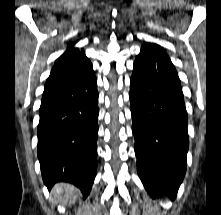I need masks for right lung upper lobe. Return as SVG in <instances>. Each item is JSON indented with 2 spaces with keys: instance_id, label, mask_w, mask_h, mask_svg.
I'll return each mask as SVG.
<instances>
[{
  "instance_id": "obj_1",
  "label": "right lung upper lobe",
  "mask_w": 221,
  "mask_h": 215,
  "mask_svg": "<svg viewBox=\"0 0 221 215\" xmlns=\"http://www.w3.org/2000/svg\"><path fill=\"white\" fill-rule=\"evenodd\" d=\"M91 70L92 64L85 56L84 50L75 48L73 43L56 60L46 81L44 92L72 82Z\"/></svg>"
}]
</instances>
